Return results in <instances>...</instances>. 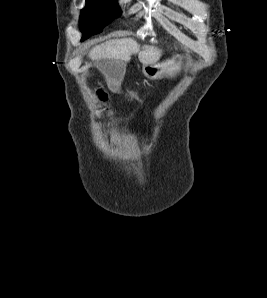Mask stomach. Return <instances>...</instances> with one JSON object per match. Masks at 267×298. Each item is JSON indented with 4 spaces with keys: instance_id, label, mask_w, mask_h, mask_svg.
Returning <instances> with one entry per match:
<instances>
[{
    "instance_id": "1",
    "label": "stomach",
    "mask_w": 267,
    "mask_h": 298,
    "mask_svg": "<svg viewBox=\"0 0 267 298\" xmlns=\"http://www.w3.org/2000/svg\"><path fill=\"white\" fill-rule=\"evenodd\" d=\"M184 68V57L173 56L171 59L158 63L143 65L142 72L150 80L160 79L163 76L174 77Z\"/></svg>"
}]
</instances>
